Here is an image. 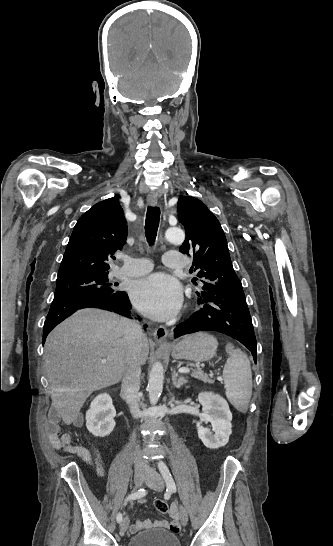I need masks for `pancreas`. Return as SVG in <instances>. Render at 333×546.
Returning a JSON list of instances; mask_svg holds the SVG:
<instances>
[{
	"instance_id": "pancreas-1",
	"label": "pancreas",
	"mask_w": 333,
	"mask_h": 546,
	"mask_svg": "<svg viewBox=\"0 0 333 546\" xmlns=\"http://www.w3.org/2000/svg\"><path fill=\"white\" fill-rule=\"evenodd\" d=\"M193 372L191 374L192 377L198 379V380H201L203 382H208V383H213V380H211L209 378V376L207 374H205L202 370L198 369V368H194L192 369Z\"/></svg>"
}]
</instances>
